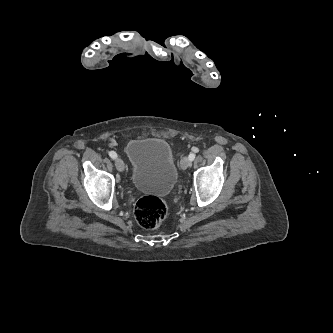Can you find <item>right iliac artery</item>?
<instances>
[{"mask_svg": "<svg viewBox=\"0 0 333 333\" xmlns=\"http://www.w3.org/2000/svg\"><path fill=\"white\" fill-rule=\"evenodd\" d=\"M109 156H110L112 159L117 158V154H116V152H114V151H110V152H109Z\"/></svg>", "mask_w": 333, "mask_h": 333, "instance_id": "1", "label": "right iliac artery"}]
</instances>
